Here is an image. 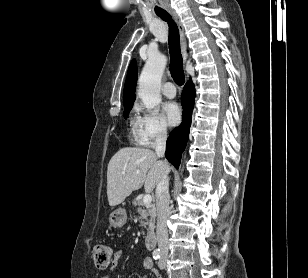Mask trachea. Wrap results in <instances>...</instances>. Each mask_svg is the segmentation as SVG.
Instances as JSON below:
<instances>
[{
  "mask_svg": "<svg viewBox=\"0 0 308 278\" xmlns=\"http://www.w3.org/2000/svg\"><path fill=\"white\" fill-rule=\"evenodd\" d=\"M162 20L169 25V52H170V72L173 80L178 85H183L185 76L183 71V59L180 51L179 30L176 23L167 12L157 13Z\"/></svg>",
  "mask_w": 308,
  "mask_h": 278,
  "instance_id": "obj_1",
  "label": "trachea"
}]
</instances>
